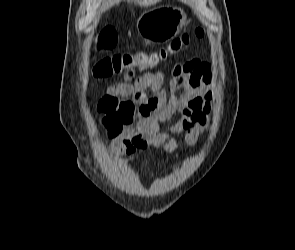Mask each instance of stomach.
<instances>
[{"label":"stomach","instance_id":"obj_1","mask_svg":"<svg viewBox=\"0 0 295 250\" xmlns=\"http://www.w3.org/2000/svg\"><path fill=\"white\" fill-rule=\"evenodd\" d=\"M186 20L187 16L183 9L159 6L140 17L137 29L140 35L152 40V45H159V42L168 41L176 36Z\"/></svg>","mask_w":295,"mask_h":250}]
</instances>
